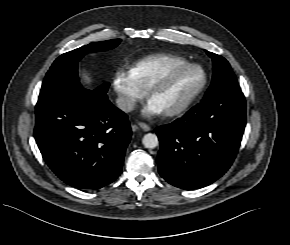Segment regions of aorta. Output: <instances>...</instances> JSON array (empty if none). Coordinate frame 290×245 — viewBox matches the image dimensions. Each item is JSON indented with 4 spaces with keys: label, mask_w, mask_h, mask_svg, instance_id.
<instances>
[{
    "label": "aorta",
    "mask_w": 290,
    "mask_h": 245,
    "mask_svg": "<svg viewBox=\"0 0 290 245\" xmlns=\"http://www.w3.org/2000/svg\"><path fill=\"white\" fill-rule=\"evenodd\" d=\"M143 145L148 149H154L158 146L159 140L156 134L147 133L142 138Z\"/></svg>",
    "instance_id": "aorta-1"
}]
</instances>
